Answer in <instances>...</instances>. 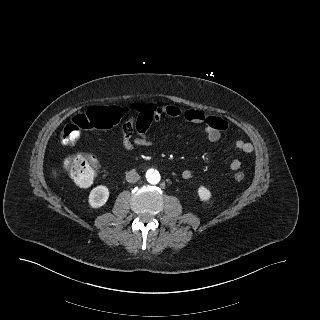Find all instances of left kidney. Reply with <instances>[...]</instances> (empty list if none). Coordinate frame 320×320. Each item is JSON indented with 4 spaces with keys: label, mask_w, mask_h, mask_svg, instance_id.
Segmentation results:
<instances>
[{
    "label": "left kidney",
    "mask_w": 320,
    "mask_h": 320,
    "mask_svg": "<svg viewBox=\"0 0 320 320\" xmlns=\"http://www.w3.org/2000/svg\"><path fill=\"white\" fill-rule=\"evenodd\" d=\"M198 196L203 202H209L211 198V192L204 186L198 188Z\"/></svg>",
    "instance_id": "5707ae66"
}]
</instances>
